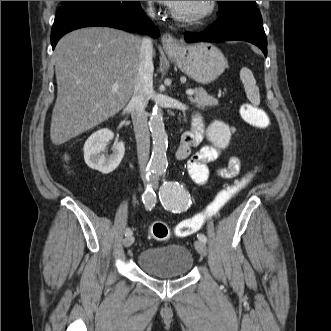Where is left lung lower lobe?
<instances>
[{"label":"left lung lower lobe","mask_w":331,"mask_h":331,"mask_svg":"<svg viewBox=\"0 0 331 331\" xmlns=\"http://www.w3.org/2000/svg\"><path fill=\"white\" fill-rule=\"evenodd\" d=\"M184 38L187 42L243 40L258 46L267 56V39L262 17L257 9L221 16L205 31L186 32Z\"/></svg>","instance_id":"left-lung-lower-lobe-1"}]
</instances>
